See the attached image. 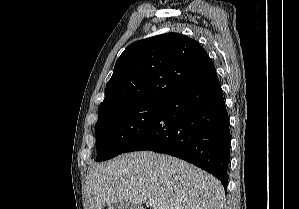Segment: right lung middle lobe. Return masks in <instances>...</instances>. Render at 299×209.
Returning a JSON list of instances; mask_svg holds the SVG:
<instances>
[{
	"instance_id": "dd1d6c3e",
	"label": "right lung middle lobe",
	"mask_w": 299,
	"mask_h": 209,
	"mask_svg": "<svg viewBox=\"0 0 299 209\" xmlns=\"http://www.w3.org/2000/svg\"><path fill=\"white\" fill-rule=\"evenodd\" d=\"M164 102H136L98 114L96 123V161L113 158L122 152L154 122Z\"/></svg>"
}]
</instances>
